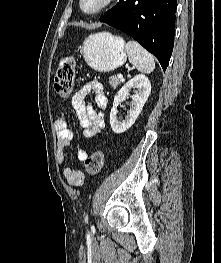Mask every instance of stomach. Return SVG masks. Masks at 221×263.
Instances as JSON below:
<instances>
[{
    "instance_id": "1",
    "label": "stomach",
    "mask_w": 221,
    "mask_h": 263,
    "mask_svg": "<svg viewBox=\"0 0 221 263\" xmlns=\"http://www.w3.org/2000/svg\"><path fill=\"white\" fill-rule=\"evenodd\" d=\"M125 42L121 37L100 32L87 37L81 47L86 63L95 71L110 72L126 62Z\"/></svg>"
}]
</instances>
